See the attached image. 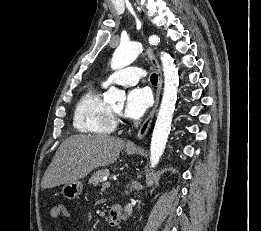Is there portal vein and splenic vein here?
<instances>
[{"mask_svg": "<svg viewBox=\"0 0 261 231\" xmlns=\"http://www.w3.org/2000/svg\"><path fill=\"white\" fill-rule=\"evenodd\" d=\"M105 182L103 183L102 185V188L105 189V188H109L111 186V182L107 181V179H104Z\"/></svg>", "mask_w": 261, "mask_h": 231, "instance_id": "portal-vein-and-splenic-vein-1", "label": "portal vein and splenic vein"}]
</instances>
